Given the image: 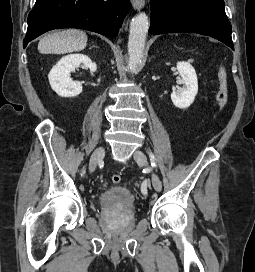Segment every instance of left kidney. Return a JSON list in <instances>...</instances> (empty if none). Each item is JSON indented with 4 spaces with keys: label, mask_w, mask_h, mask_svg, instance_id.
I'll use <instances>...</instances> for the list:
<instances>
[{
    "label": "left kidney",
    "mask_w": 255,
    "mask_h": 272,
    "mask_svg": "<svg viewBox=\"0 0 255 272\" xmlns=\"http://www.w3.org/2000/svg\"><path fill=\"white\" fill-rule=\"evenodd\" d=\"M177 70L181 77L179 82L183 87L173 91L171 100L177 108L186 109L194 102L198 93L197 75L193 66L184 61L177 63Z\"/></svg>",
    "instance_id": "obj_1"
}]
</instances>
